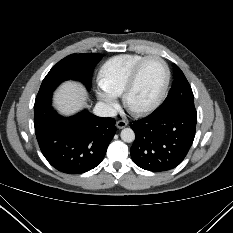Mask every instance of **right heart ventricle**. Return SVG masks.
Masks as SVG:
<instances>
[{
  "label": "right heart ventricle",
  "mask_w": 233,
  "mask_h": 233,
  "mask_svg": "<svg viewBox=\"0 0 233 233\" xmlns=\"http://www.w3.org/2000/svg\"><path fill=\"white\" fill-rule=\"evenodd\" d=\"M143 57L141 54H121L108 59L98 72L99 86L106 92L121 95L132 69Z\"/></svg>",
  "instance_id": "1"
}]
</instances>
